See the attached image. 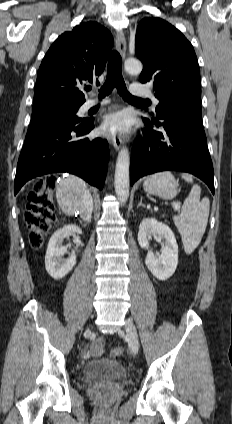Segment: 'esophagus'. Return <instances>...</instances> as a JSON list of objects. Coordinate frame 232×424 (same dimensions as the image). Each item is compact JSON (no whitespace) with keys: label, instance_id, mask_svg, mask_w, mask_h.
<instances>
[{"label":"esophagus","instance_id":"esophagus-1","mask_svg":"<svg viewBox=\"0 0 232 424\" xmlns=\"http://www.w3.org/2000/svg\"><path fill=\"white\" fill-rule=\"evenodd\" d=\"M115 41L117 50L124 60L126 56V40L122 31L117 32ZM111 143L116 150H119L122 145V139L119 135H115L111 138Z\"/></svg>","mask_w":232,"mask_h":424}]
</instances>
